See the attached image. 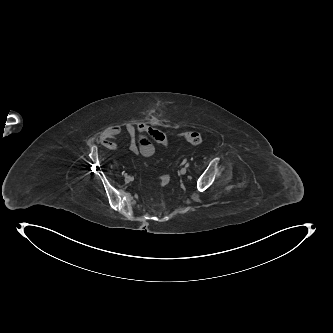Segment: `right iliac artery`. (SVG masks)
Instances as JSON below:
<instances>
[{"label":"right iliac artery","mask_w":333,"mask_h":333,"mask_svg":"<svg viewBox=\"0 0 333 333\" xmlns=\"http://www.w3.org/2000/svg\"><path fill=\"white\" fill-rule=\"evenodd\" d=\"M122 174H123L125 177H127V176H128V175H127V173H125V172H123Z\"/></svg>","instance_id":"1"}]
</instances>
